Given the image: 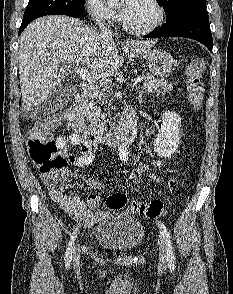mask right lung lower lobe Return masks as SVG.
<instances>
[{
    "instance_id": "98d812e1",
    "label": "right lung lower lobe",
    "mask_w": 233,
    "mask_h": 294,
    "mask_svg": "<svg viewBox=\"0 0 233 294\" xmlns=\"http://www.w3.org/2000/svg\"><path fill=\"white\" fill-rule=\"evenodd\" d=\"M29 23H22L20 30H19V34L25 29V27L28 25Z\"/></svg>"
}]
</instances>
